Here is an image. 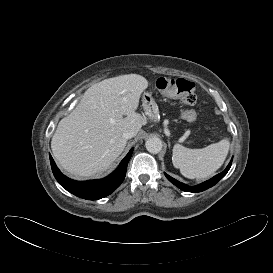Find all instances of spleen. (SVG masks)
<instances>
[{
    "mask_svg": "<svg viewBox=\"0 0 273 273\" xmlns=\"http://www.w3.org/2000/svg\"><path fill=\"white\" fill-rule=\"evenodd\" d=\"M230 147L227 138L202 149H189L180 144L173 147L172 162L189 179H203L214 174L224 163Z\"/></svg>",
    "mask_w": 273,
    "mask_h": 273,
    "instance_id": "obj_1",
    "label": "spleen"
}]
</instances>
